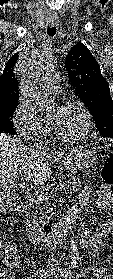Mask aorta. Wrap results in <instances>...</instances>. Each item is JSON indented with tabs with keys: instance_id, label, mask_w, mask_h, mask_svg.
<instances>
[{
	"instance_id": "762f6f07",
	"label": "aorta",
	"mask_w": 113,
	"mask_h": 279,
	"mask_svg": "<svg viewBox=\"0 0 113 279\" xmlns=\"http://www.w3.org/2000/svg\"><path fill=\"white\" fill-rule=\"evenodd\" d=\"M55 59L52 56H47L44 60H42L40 67L43 70L49 71L55 66ZM23 94L26 96V98L31 99L33 102H35L34 109L37 113L44 114L49 112L50 108V101L46 96L39 97L33 90L28 88H22ZM70 249H71V261L70 266L75 267L79 260V248L77 245L76 238L73 236L70 238Z\"/></svg>"
}]
</instances>
